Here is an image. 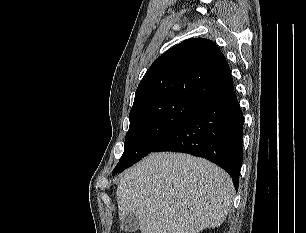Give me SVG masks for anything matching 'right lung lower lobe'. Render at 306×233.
Here are the masks:
<instances>
[{"label": "right lung lower lobe", "mask_w": 306, "mask_h": 233, "mask_svg": "<svg viewBox=\"0 0 306 233\" xmlns=\"http://www.w3.org/2000/svg\"><path fill=\"white\" fill-rule=\"evenodd\" d=\"M243 113L234 89L202 105L152 152L203 157L222 167L238 189L242 165Z\"/></svg>", "instance_id": "98d812e1"}]
</instances>
